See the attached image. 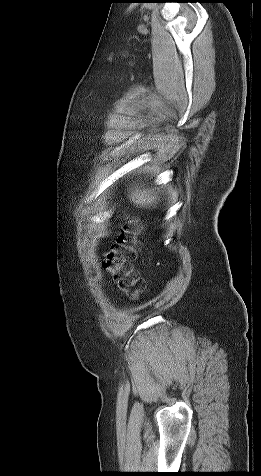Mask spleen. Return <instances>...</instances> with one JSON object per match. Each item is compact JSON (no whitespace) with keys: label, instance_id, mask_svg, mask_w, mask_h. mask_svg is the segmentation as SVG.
Here are the masks:
<instances>
[{"label":"spleen","instance_id":"3e777b00","mask_svg":"<svg viewBox=\"0 0 261 476\" xmlns=\"http://www.w3.org/2000/svg\"><path fill=\"white\" fill-rule=\"evenodd\" d=\"M131 194L129 199L132 203L140 207H147L157 204L158 193L154 189H140V187H134L130 189Z\"/></svg>","mask_w":261,"mask_h":476}]
</instances>
